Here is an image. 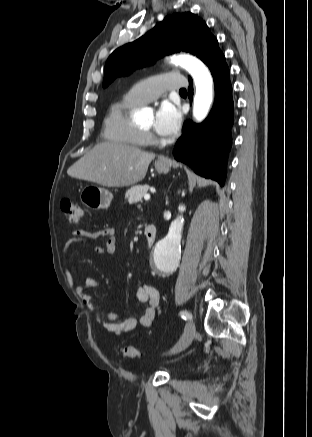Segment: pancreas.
<instances>
[{
	"label": "pancreas",
	"mask_w": 312,
	"mask_h": 437,
	"mask_svg": "<svg viewBox=\"0 0 312 437\" xmlns=\"http://www.w3.org/2000/svg\"><path fill=\"white\" fill-rule=\"evenodd\" d=\"M149 186L147 184L144 185H136L130 188L126 194L125 199L129 204H136L142 201V198L145 194H147Z\"/></svg>",
	"instance_id": "pancreas-1"
}]
</instances>
